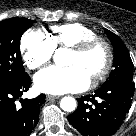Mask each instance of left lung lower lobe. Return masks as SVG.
Instances as JSON below:
<instances>
[{
    "instance_id": "obj_1",
    "label": "left lung lower lobe",
    "mask_w": 136,
    "mask_h": 136,
    "mask_svg": "<svg viewBox=\"0 0 136 136\" xmlns=\"http://www.w3.org/2000/svg\"><path fill=\"white\" fill-rule=\"evenodd\" d=\"M134 87L133 81L110 82L79 98L77 110L68 116L70 124L83 136L114 134L131 106Z\"/></svg>"
}]
</instances>
